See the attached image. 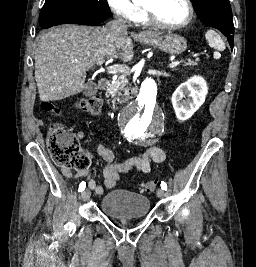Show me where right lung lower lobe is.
I'll use <instances>...</instances> for the list:
<instances>
[{"instance_id":"1","label":"right lung lower lobe","mask_w":256,"mask_h":267,"mask_svg":"<svg viewBox=\"0 0 256 267\" xmlns=\"http://www.w3.org/2000/svg\"><path fill=\"white\" fill-rule=\"evenodd\" d=\"M103 21H104L103 19H94V18H87V17L68 18V19H61L57 22L47 24V25H45V27L49 28V27H52L53 25H60L63 23L80 24V25H94L95 26V25H99Z\"/></svg>"}]
</instances>
